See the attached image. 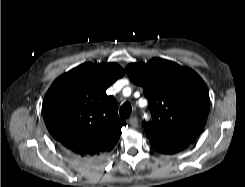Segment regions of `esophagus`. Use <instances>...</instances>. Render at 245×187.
Returning a JSON list of instances; mask_svg holds the SVG:
<instances>
[{
  "label": "esophagus",
  "instance_id": "1",
  "mask_svg": "<svg viewBox=\"0 0 245 187\" xmlns=\"http://www.w3.org/2000/svg\"><path fill=\"white\" fill-rule=\"evenodd\" d=\"M128 123L132 126V127H137L138 126V119L136 116H132L129 118Z\"/></svg>",
  "mask_w": 245,
  "mask_h": 187
}]
</instances>
